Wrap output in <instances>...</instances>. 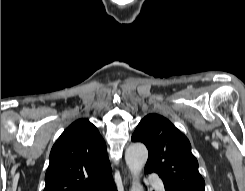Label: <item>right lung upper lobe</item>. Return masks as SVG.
<instances>
[{
  "mask_svg": "<svg viewBox=\"0 0 245 191\" xmlns=\"http://www.w3.org/2000/svg\"><path fill=\"white\" fill-rule=\"evenodd\" d=\"M111 178L104 139L91 122L79 119L51 149L44 191H86Z\"/></svg>",
  "mask_w": 245,
  "mask_h": 191,
  "instance_id": "obj_1",
  "label": "right lung upper lobe"
}]
</instances>
